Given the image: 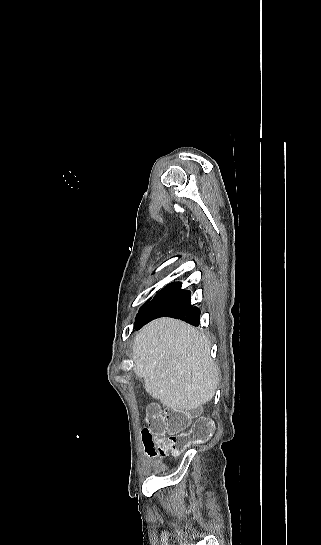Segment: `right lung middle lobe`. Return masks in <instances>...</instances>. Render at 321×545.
Here are the masks:
<instances>
[{"label": "right lung middle lobe", "instance_id": "obj_1", "mask_svg": "<svg viewBox=\"0 0 321 545\" xmlns=\"http://www.w3.org/2000/svg\"><path fill=\"white\" fill-rule=\"evenodd\" d=\"M149 303H150V299L140 308L137 317L140 316V314L146 309V307L149 305Z\"/></svg>", "mask_w": 321, "mask_h": 545}]
</instances>
